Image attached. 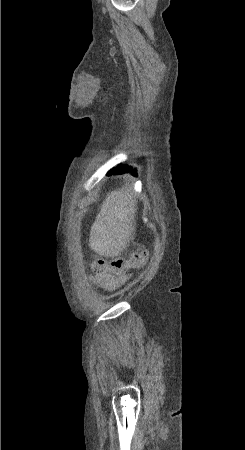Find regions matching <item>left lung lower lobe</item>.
Segmentation results:
<instances>
[{"mask_svg":"<svg viewBox=\"0 0 245 450\" xmlns=\"http://www.w3.org/2000/svg\"><path fill=\"white\" fill-rule=\"evenodd\" d=\"M131 170H132V166L118 165V166H116L115 168L111 169V170L108 172V175H111L112 173H113L114 175H116V174H123V173L129 172V171H131ZM132 175H134V176L137 175L136 170H133V171H132Z\"/></svg>","mask_w":245,"mask_h":450,"instance_id":"0a47b994","label":"left lung lower lobe"}]
</instances>
